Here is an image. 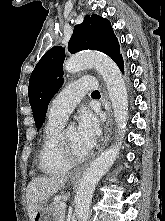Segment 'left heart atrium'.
I'll list each match as a JSON object with an SVG mask.
<instances>
[{"label":"left heart atrium","mask_w":165,"mask_h":221,"mask_svg":"<svg viewBox=\"0 0 165 221\" xmlns=\"http://www.w3.org/2000/svg\"><path fill=\"white\" fill-rule=\"evenodd\" d=\"M77 134L80 142L90 150L100 136V124L97 117L90 111L84 110L78 119Z\"/></svg>","instance_id":"39dd6f15"}]
</instances>
